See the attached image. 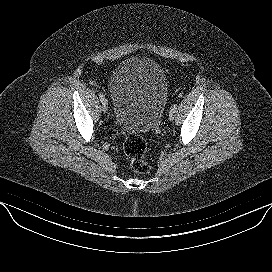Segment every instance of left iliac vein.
Masks as SVG:
<instances>
[{
    "label": "left iliac vein",
    "instance_id": "obj_1",
    "mask_svg": "<svg viewBox=\"0 0 272 272\" xmlns=\"http://www.w3.org/2000/svg\"><path fill=\"white\" fill-rule=\"evenodd\" d=\"M175 112H176V110H171V109H170V112H169V119H170V120H173L174 115H175Z\"/></svg>",
    "mask_w": 272,
    "mask_h": 272
}]
</instances>
